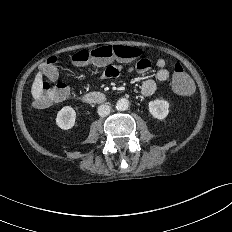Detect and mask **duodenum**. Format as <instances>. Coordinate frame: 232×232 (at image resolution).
Masks as SVG:
<instances>
[{
	"label": "duodenum",
	"mask_w": 232,
	"mask_h": 232,
	"mask_svg": "<svg viewBox=\"0 0 232 232\" xmlns=\"http://www.w3.org/2000/svg\"><path fill=\"white\" fill-rule=\"evenodd\" d=\"M106 100V97L101 92H89L84 95V101L87 103H102Z\"/></svg>",
	"instance_id": "410a0bca"
}]
</instances>
